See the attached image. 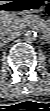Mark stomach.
<instances>
[{
	"mask_svg": "<svg viewBox=\"0 0 50 111\" xmlns=\"http://www.w3.org/2000/svg\"><path fill=\"white\" fill-rule=\"evenodd\" d=\"M21 4L16 8H9L6 14H24V13H37L42 11L47 4L46 0H20ZM9 2H4L7 4Z\"/></svg>",
	"mask_w": 50,
	"mask_h": 111,
	"instance_id": "0dacf381",
	"label": "stomach"
}]
</instances>
